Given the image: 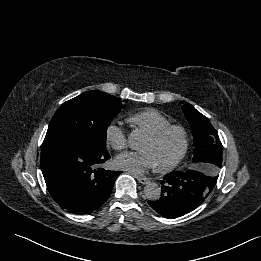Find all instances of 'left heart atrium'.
Returning a JSON list of instances; mask_svg holds the SVG:
<instances>
[{"mask_svg":"<svg viewBox=\"0 0 261 261\" xmlns=\"http://www.w3.org/2000/svg\"><path fill=\"white\" fill-rule=\"evenodd\" d=\"M117 167L134 174H142L157 167L153 154L149 151L125 152L115 159Z\"/></svg>","mask_w":261,"mask_h":261,"instance_id":"1","label":"left heart atrium"}]
</instances>
